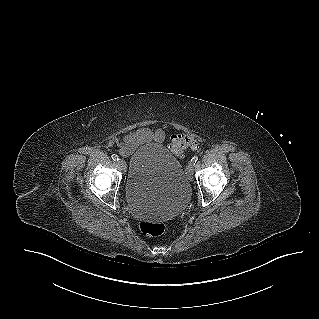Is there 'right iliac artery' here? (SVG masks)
<instances>
[{
    "mask_svg": "<svg viewBox=\"0 0 319 319\" xmlns=\"http://www.w3.org/2000/svg\"><path fill=\"white\" fill-rule=\"evenodd\" d=\"M111 158L114 160V161H119L120 159H119V157H118V155H116V154H112L111 155Z\"/></svg>",
    "mask_w": 319,
    "mask_h": 319,
    "instance_id": "82829eb1",
    "label": "right iliac artery"
}]
</instances>
